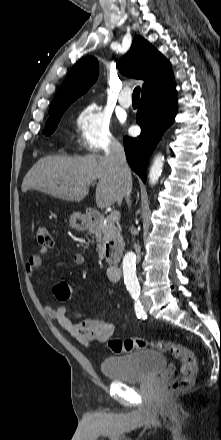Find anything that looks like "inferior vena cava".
Here are the masks:
<instances>
[{"label": "inferior vena cava", "instance_id": "602c4592", "mask_svg": "<svg viewBox=\"0 0 221 440\" xmlns=\"http://www.w3.org/2000/svg\"><path fill=\"white\" fill-rule=\"evenodd\" d=\"M106 157L111 162L114 171L121 182L122 196L126 198L128 206L131 205L130 194L132 191V177L126 160L123 146L116 140L111 139L106 150ZM131 234H136V229L130 228ZM134 248L137 245L134 244Z\"/></svg>", "mask_w": 221, "mask_h": 440}]
</instances>
